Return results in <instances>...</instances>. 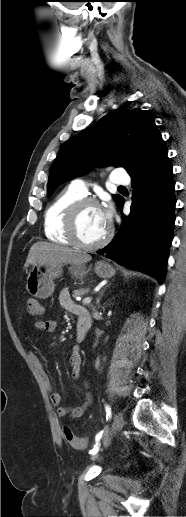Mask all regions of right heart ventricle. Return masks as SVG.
Here are the masks:
<instances>
[{"label":"right heart ventricle","instance_id":"right-heart-ventricle-1","mask_svg":"<svg viewBox=\"0 0 186 517\" xmlns=\"http://www.w3.org/2000/svg\"><path fill=\"white\" fill-rule=\"evenodd\" d=\"M83 195L68 186L61 190L46 208L44 233L48 240L60 244H72L66 232V214L69 207Z\"/></svg>","mask_w":186,"mask_h":517}]
</instances>
